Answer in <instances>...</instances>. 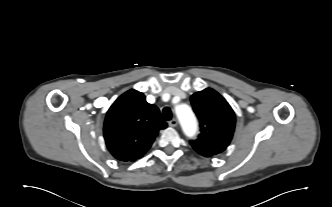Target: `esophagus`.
<instances>
[{"label":"esophagus","mask_w":332,"mask_h":207,"mask_svg":"<svg viewBox=\"0 0 332 207\" xmlns=\"http://www.w3.org/2000/svg\"><path fill=\"white\" fill-rule=\"evenodd\" d=\"M177 125H178L177 119L173 118L172 120L169 121V126L176 127Z\"/></svg>","instance_id":"esophagus-1"}]
</instances>
